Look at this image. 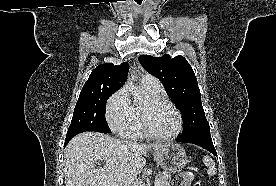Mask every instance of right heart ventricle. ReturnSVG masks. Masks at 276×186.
Segmentation results:
<instances>
[{"label": "right heart ventricle", "mask_w": 276, "mask_h": 186, "mask_svg": "<svg viewBox=\"0 0 276 186\" xmlns=\"http://www.w3.org/2000/svg\"><path fill=\"white\" fill-rule=\"evenodd\" d=\"M142 86L151 98L159 97L160 92H155V91H152L151 89L145 87L144 85H142ZM133 109H134V112H135V115L137 118L136 125H135L134 129L130 133L126 134L125 136H128L133 139L145 138V137H147V135L143 129L142 121H141L142 108L138 105H135V106H133Z\"/></svg>", "instance_id": "obj_1"}]
</instances>
